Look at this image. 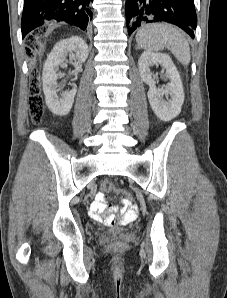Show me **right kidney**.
Here are the masks:
<instances>
[{
	"mask_svg": "<svg viewBox=\"0 0 227 298\" xmlns=\"http://www.w3.org/2000/svg\"><path fill=\"white\" fill-rule=\"evenodd\" d=\"M88 46L86 42L78 36L59 41L53 47L51 53L43 66V91L48 108L56 115H67L74 103L77 92L76 85L66 94L58 95L57 79L61 76L58 74L59 66H61L67 55L70 54L75 61V65H79L86 61L88 57Z\"/></svg>",
	"mask_w": 227,
	"mask_h": 298,
	"instance_id": "1",
	"label": "right kidney"
}]
</instances>
